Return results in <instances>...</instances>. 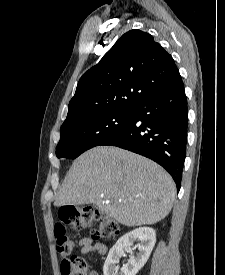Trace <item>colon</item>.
Returning <instances> with one entry per match:
<instances>
[{
    "instance_id": "obj_1",
    "label": "colon",
    "mask_w": 225,
    "mask_h": 275,
    "mask_svg": "<svg viewBox=\"0 0 225 275\" xmlns=\"http://www.w3.org/2000/svg\"><path fill=\"white\" fill-rule=\"evenodd\" d=\"M59 217L61 224L54 228L56 249L62 255H68L74 246L72 239L66 233L65 224H71L76 230L94 226L91 238L108 237L119 233L118 224L110 217L89 207L63 208ZM62 275H87L86 261L79 256H72L61 263Z\"/></svg>"
}]
</instances>
